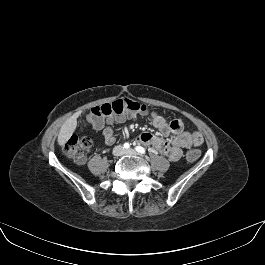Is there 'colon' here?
<instances>
[{
  "mask_svg": "<svg viewBox=\"0 0 265 265\" xmlns=\"http://www.w3.org/2000/svg\"><path fill=\"white\" fill-rule=\"evenodd\" d=\"M133 114H149V108L147 105L135 100L118 99L113 102L91 108L87 115V120L93 126L98 127L103 125L104 120L107 117ZM91 145V140L88 137H78L73 135L63 145V151L69 159L82 164L87 158ZM199 157L200 151L198 149H191L186 154V158L190 162L196 161Z\"/></svg>",
  "mask_w": 265,
  "mask_h": 265,
  "instance_id": "obj_1",
  "label": "colon"
}]
</instances>
